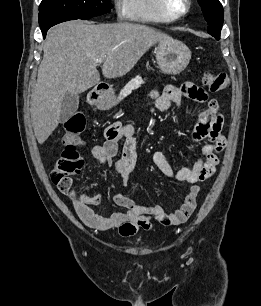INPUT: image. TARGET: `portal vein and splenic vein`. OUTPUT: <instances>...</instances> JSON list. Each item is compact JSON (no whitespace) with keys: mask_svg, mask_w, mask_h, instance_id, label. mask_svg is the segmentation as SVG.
I'll return each mask as SVG.
<instances>
[{"mask_svg":"<svg viewBox=\"0 0 261 306\" xmlns=\"http://www.w3.org/2000/svg\"><path fill=\"white\" fill-rule=\"evenodd\" d=\"M104 62V58H99V59H97V63L98 64H101V63H103Z\"/></svg>","mask_w":261,"mask_h":306,"instance_id":"18ae733b","label":"portal vein and splenic vein"}]
</instances>
